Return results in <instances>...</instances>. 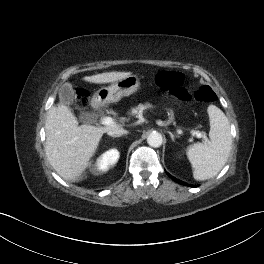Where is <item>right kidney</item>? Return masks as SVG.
I'll list each match as a JSON object with an SVG mask.
<instances>
[{"instance_id": "right-kidney-1", "label": "right kidney", "mask_w": 264, "mask_h": 264, "mask_svg": "<svg viewBox=\"0 0 264 264\" xmlns=\"http://www.w3.org/2000/svg\"><path fill=\"white\" fill-rule=\"evenodd\" d=\"M119 159V152L117 149H110L106 151L97 161L98 171H107L110 166L114 165Z\"/></svg>"}]
</instances>
